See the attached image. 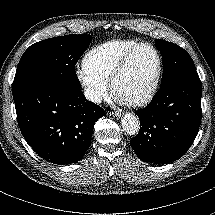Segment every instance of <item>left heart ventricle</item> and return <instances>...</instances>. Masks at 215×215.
Here are the masks:
<instances>
[{
  "label": "left heart ventricle",
  "mask_w": 215,
  "mask_h": 215,
  "mask_svg": "<svg viewBox=\"0 0 215 215\" xmlns=\"http://www.w3.org/2000/svg\"><path fill=\"white\" fill-rule=\"evenodd\" d=\"M157 69V57L152 48L143 46L132 56L123 75L116 82L114 96L123 102L139 98L147 89Z\"/></svg>",
  "instance_id": "obj_1"
}]
</instances>
